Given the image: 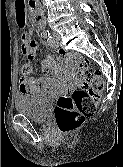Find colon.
<instances>
[{
	"label": "colon",
	"instance_id": "1",
	"mask_svg": "<svg viewBox=\"0 0 123 167\" xmlns=\"http://www.w3.org/2000/svg\"><path fill=\"white\" fill-rule=\"evenodd\" d=\"M77 61L78 72L76 85L70 93L62 94L57 101L55 119L62 133H70L80 127L85 120L92 116L104 89L102 77L93 73L87 60L78 55H72ZM28 61L21 63V70Z\"/></svg>",
	"mask_w": 123,
	"mask_h": 167
}]
</instances>
